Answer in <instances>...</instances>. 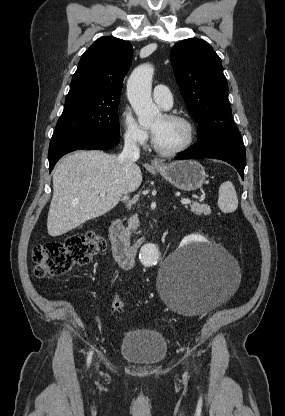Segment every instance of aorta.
I'll return each instance as SVG.
<instances>
[{"label": "aorta", "instance_id": "762f6f07", "mask_svg": "<svg viewBox=\"0 0 285 416\" xmlns=\"http://www.w3.org/2000/svg\"><path fill=\"white\" fill-rule=\"evenodd\" d=\"M154 68L150 64H142L135 68L127 82L128 100L135 111L141 125L151 124L160 116V110L151 97ZM140 261L145 266L154 265L158 258V248L147 243L140 250Z\"/></svg>", "mask_w": 285, "mask_h": 416}]
</instances>
